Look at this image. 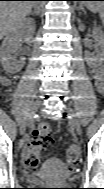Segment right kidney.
Returning <instances> with one entry per match:
<instances>
[{
	"label": "right kidney",
	"instance_id": "1",
	"mask_svg": "<svg viewBox=\"0 0 104 189\" xmlns=\"http://www.w3.org/2000/svg\"><path fill=\"white\" fill-rule=\"evenodd\" d=\"M34 29V20L25 18L19 23L17 29L9 33L3 40L0 46V61L7 73L14 74L23 68L25 58H20L16 61L12 58L11 54L18 49L20 42L22 41V35L29 36L34 32Z\"/></svg>",
	"mask_w": 104,
	"mask_h": 189
}]
</instances>
